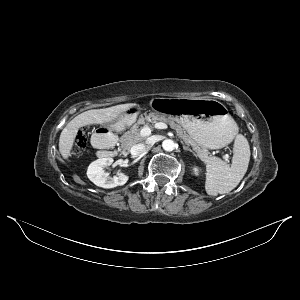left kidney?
<instances>
[{"mask_svg":"<svg viewBox=\"0 0 300 300\" xmlns=\"http://www.w3.org/2000/svg\"><path fill=\"white\" fill-rule=\"evenodd\" d=\"M193 171H194V174H195V175H198L199 170H198L197 167H194V168H193Z\"/></svg>","mask_w":300,"mask_h":300,"instance_id":"obj_1","label":"left kidney"}]
</instances>
